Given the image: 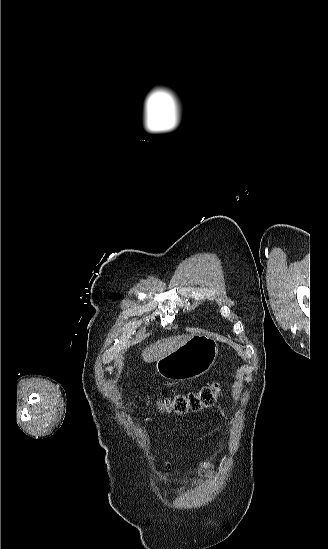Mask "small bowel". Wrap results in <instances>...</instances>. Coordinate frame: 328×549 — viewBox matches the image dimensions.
Returning a JSON list of instances; mask_svg holds the SVG:
<instances>
[{"mask_svg":"<svg viewBox=\"0 0 328 549\" xmlns=\"http://www.w3.org/2000/svg\"><path fill=\"white\" fill-rule=\"evenodd\" d=\"M164 467H165V470H169L170 467H171L170 462H165V466H164Z\"/></svg>","mask_w":328,"mask_h":549,"instance_id":"1","label":"small bowel"}]
</instances>
